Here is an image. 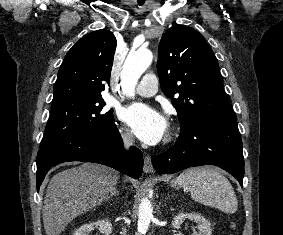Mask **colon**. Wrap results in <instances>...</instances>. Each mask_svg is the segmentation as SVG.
Wrapping results in <instances>:
<instances>
[{"mask_svg": "<svg viewBox=\"0 0 283 235\" xmlns=\"http://www.w3.org/2000/svg\"><path fill=\"white\" fill-rule=\"evenodd\" d=\"M231 227L234 228L235 226L232 224Z\"/></svg>", "mask_w": 283, "mask_h": 235, "instance_id": "5ec220e1", "label": "colon"}]
</instances>
